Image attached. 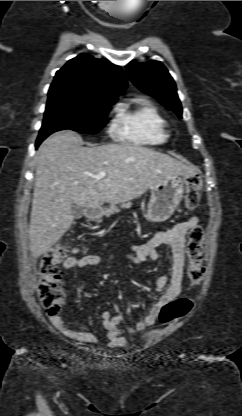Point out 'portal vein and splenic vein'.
Instances as JSON below:
<instances>
[{"label": "portal vein and splenic vein", "instance_id": "1", "mask_svg": "<svg viewBox=\"0 0 242 416\" xmlns=\"http://www.w3.org/2000/svg\"><path fill=\"white\" fill-rule=\"evenodd\" d=\"M105 176H106V172L105 171H101L98 174L93 175L92 177L95 178V179H97V180H99V179L104 178Z\"/></svg>", "mask_w": 242, "mask_h": 416}]
</instances>
